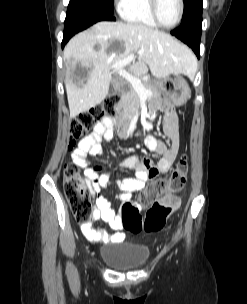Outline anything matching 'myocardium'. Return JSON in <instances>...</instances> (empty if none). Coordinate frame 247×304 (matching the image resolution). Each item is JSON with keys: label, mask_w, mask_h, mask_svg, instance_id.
<instances>
[{"label": "myocardium", "mask_w": 247, "mask_h": 304, "mask_svg": "<svg viewBox=\"0 0 247 304\" xmlns=\"http://www.w3.org/2000/svg\"><path fill=\"white\" fill-rule=\"evenodd\" d=\"M178 2H179V16H178V19L173 25L167 26V25H164L161 22V20L159 18V15H158L159 0H149V7H150L151 15H152L154 21L156 22V24L158 26H160L162 28H165V29H173L181 23L182 18H183V14H184V0H178Z\"/></svg>", "instance_id": "obj_1"}]
</instances>
